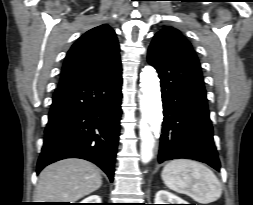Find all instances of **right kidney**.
Returning <instances> with one entry per match:
<instances>
[{
    "label": "right kidney",
    "instance_id": "right-kidney-1",
    "mask_svg": "<svg viewBox=\"0 0 253 205\" xmlns=\"http://www.w3.org/2000/svg\"><path fill=\"white\" fill-rule=\"evenodd\" d=\"M101 198L98 195H91L87 198H85L83 201L80 203H101Z\"/></svg>",
    "mask_w": 253,
    "mask_h": 205
}]
</instances>
